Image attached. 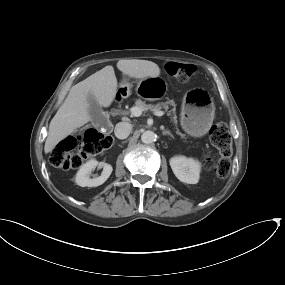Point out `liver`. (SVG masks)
Wrapping results in <instances>:
<instances>
[{
    "label": "liver",
    "mask_w": 285,
    "mask_h": 285,
    "mask_svg": "<svg viewBox=\"0 0 285 285\" xmlns=\"http://www.w3.org/2000/svg\"><path fill=\"white\" fill-rule=\"evenodd\" d=\"M117 68L123 75L136 79L160 75L158 65L147 60L121 59L117 62ZM117 87V79L111 65L74 85L50 122L44 152H51L59 142L92 120L88 103L90 94L101 107H109L116 97Z\"/></svg>",
    "instance_id": "obj_1"
}]
</instances>
